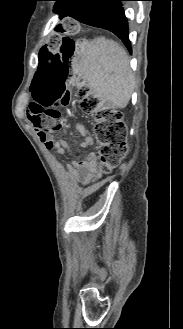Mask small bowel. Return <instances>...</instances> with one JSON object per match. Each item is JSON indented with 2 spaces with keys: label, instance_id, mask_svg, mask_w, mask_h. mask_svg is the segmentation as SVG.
<instances>
[{
  "label": "small bowel",
  "instance_id": "small-bowel-1",
  "mask_svg": "<svg viewBox=\"0 0 183 329\" xmlns=\"http://www.w3.org/2000/svg\"><path fill=\"white\" fill-rule=\"evenodd\" d=\"M26 115L47 149L53 150L56 155H63L65 153L72 155L74 153L72 147L66 140L54 141L49 138V134L51 133L42 132V128H46L44 118L32 115L29 110L26 111ZM79 130L82 134H86V130L83 127L80 126ZM91 144L92 138L89 135H86L80 143L83 148L89 147ZM68 171L73 173L85 186L98 180L101 175L97 165V155L95 153H90L81 159L72 160L68 166Z\"/></svg>",
  "mask_w": 183,
  "mask_h": 329
}]
</instances>
